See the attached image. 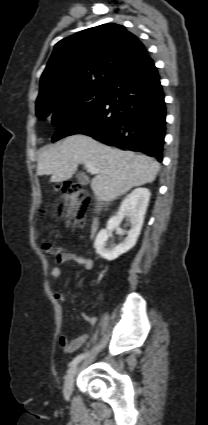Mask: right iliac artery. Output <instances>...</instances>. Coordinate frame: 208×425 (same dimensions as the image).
Wrapping results in <instances>:
<instances>
[{
	"label": "right iliac artery",
	"instance_id": "right-iliac-artery-1",
	"mask_svg": "<svg viewBox=\"0 0 208 425\" xmlns=\"http://www.w3.org/2000/svg\"><path fill=\"white\" fill-rule=\"evenodd\" d=\"M88 355V352L82 353L78 356H76L69 364V367L72 368L76 364H78L82 359H84Z\"/></svg>",
	"mask_w": 208,
	"mask_h": 425
}]
</instances>
